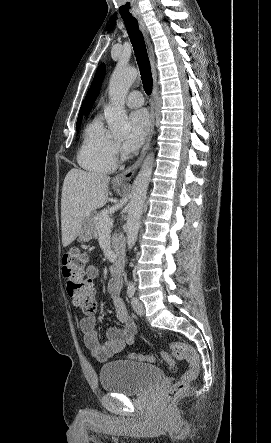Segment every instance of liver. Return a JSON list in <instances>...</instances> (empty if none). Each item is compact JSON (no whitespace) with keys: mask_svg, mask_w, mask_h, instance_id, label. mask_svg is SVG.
Wrapping results in <instances>:
<instances>
[{"mask_svg":"<svg viewBox=\"0 0 271 443\" xmlns=\"http://www.w3.org/2000/svg\"><path fill=\"white\" fill-rule=\"evenodd\" d=\"M110 180L109 176L82 172L76 168L68 172L63 182L61 198V231L64 247L76 239L85 218L107 204Z\"/></svg>","mask_w":271,"mask_h":443,"instance_id":"6515ba94","label":"liver"}]
</instances>
